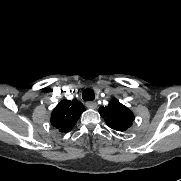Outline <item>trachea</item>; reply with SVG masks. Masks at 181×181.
I'll use <instances>...</instances> for the list:
<instances>
[{"label":"trachea","mask_w":181,"mask_h":181,"mask_svg":"<svg viewBox=\"0 0 181 181\" xmlns=\"http://www.w3.org/2000/svg\"><path fill=\"white\" fill-rule=\"evenodd\" d=\"M82 98L85 101H93L95 99L94 91L90 88H87L82 93Z\"/></svg>","instance_id":"3493384b"}]
</instances>
